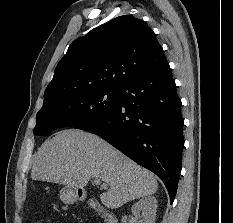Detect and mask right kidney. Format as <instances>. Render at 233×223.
Returning a JSON list of instances; mask_svg holds the SVG:
<instances>
[{
	"label": "right kidney",
	"mask_w": 233,
	"mask_h": 223,
	"mask_svg": "<svg viewBox=\"0 0 233 223\" xmlns=\"http://www.w3.org/2000/svg\"><path fill=\"white\" fill-rule=\"evenodd\" d=\"M156 209H157V199L154 195H145V197H141L139 201H136L134 205H132V213L133 215H142L144 217L141 223H155L156 219ZM127 215H123L121 221L122 223H128Z\"/></svg>",
	"instance_id": "1"
}]
</instances>
